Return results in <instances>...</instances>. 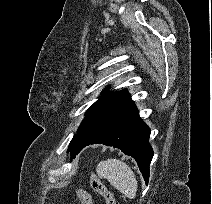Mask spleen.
Segmentation results:
<instances>
[{"label":"spleen","mask_w":212,"mask_h":204,"mask_svg":"<svg viewBox=\"0 0 212 204\" xmlns=\"http://www.w3.org/2000/svg\"><path fill=\"white\" fill-rule=\"evenodd\" d=\"M96 172L100 178L107 179L129 199L136 197L138 183L135 174L123 161L115 158L101 161L96 167Z\"/></svg>","instance_id":"obj_1"}]
</instances>
